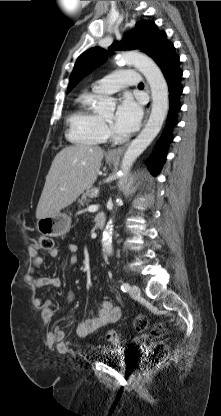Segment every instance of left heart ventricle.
I'll list each match as a JSON object with an SVG mask.
<instances>
[{
	"instance_id": "obj_1",
	"label": "left heart ventricle",
	"mask_w": 221,
	"mask_h": 416,
	"mask_svg": "<svg viewBox=\"0 0 221 416\" xmlns=\"http://www.w3.org/2000/svg\"><path fill=\"white\" fill-rule=\"evenodd\" d=\"M104 119H105L106 121H108L109 123H111V122H112V119H113V114H112V113H110V114L106 115V116L104 117Z\"/></svg>"
}]
</instances>
